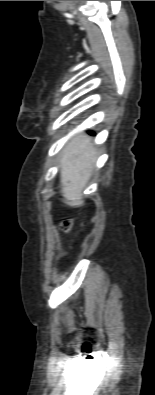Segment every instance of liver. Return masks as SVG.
Wrapping results in <instances>:
<instances>
[{
	"mask_svg": "<svg viewBox=\"0 0 155 395\" xmlns=\"http://www.w3.org/2000/svg\"><path fill=\"white\" fill-rule=\"evenodd\" d=\"M97 157L98 151L91 138L83 134L73 138L62 150L60 190L70 206L84 204L82 192L89 183Z\"/></svg>",
	"mask_w": 155,
	"mask_h": 395,
	"instance_id": "6515ba94",
	"label": "liver"
}]
</instances>
